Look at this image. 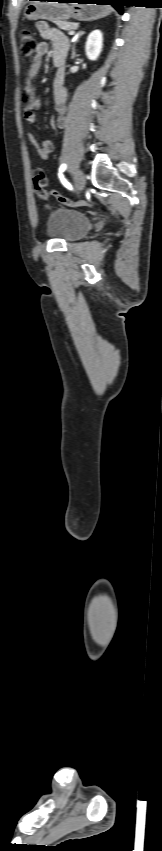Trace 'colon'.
<instances>
[{
    "label": "colon",
    "mask_w": 162,
    "mask_h": 851,
    "mask_svg": "<svg viewBox=\"0 0 162 851\" xmlns=\"http://www.w3.org/2000/svg\"><path fill=\"white\" fill-rule=\"evenodd\" d=\"M37 41L35 34L30 30H24L20 34V54L24 61H31L34 58V54L37 48ZM33 184L38 196L42 199H48L49 197H54L58 202L67 206H86L90 205V202L86 200H73L64 196L61 192L56 189H48V179L45 172L37 168L33 171L32 175Z\"/></svg>",
    "instance_id": "obj_1"
}]
</instances>
